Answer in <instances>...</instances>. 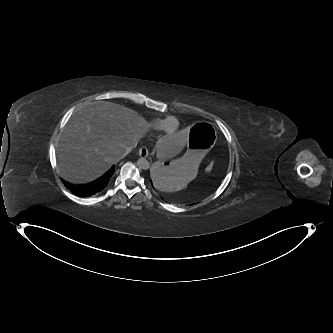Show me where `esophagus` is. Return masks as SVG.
I'll list each match as a JSON object with an SVG mask.
<instances>
[{
    "instance_id": "obj_1",
    "label": "esophagus",
    "mask_w": 333,
    "mask_h": 333,
    "mask_svg": "<svg viewBox=\"0 0 333 333\" xmlns=\"http://www.w3.org/2000/svg\"><path fill=\"white\" fill-rule=\"evenodd\" d=\"M139 156L141 158H146L148 156V149L145 147V146H142L140 149H139Z\"/></svg>"
}]
</instances>
